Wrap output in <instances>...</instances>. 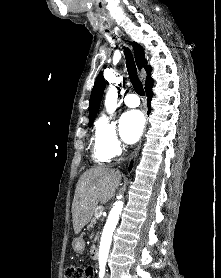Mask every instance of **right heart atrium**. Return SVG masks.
<instances>
[{"label":"right heart atrium","mask_w":221,"mask_h":278,"mask_svg":"<svg viewBox=\"0 0 221 278\" xmlns=\"http://www.w3.org/2000/svg\"><path fill=\"white\" fill-rule=\"evenodd\" d=\"M96 142L110 159L120 155L124 149L115 123L107 117H102L97 122Z\"/></svg>","instance_id":"obj_1"}]
</instances>
